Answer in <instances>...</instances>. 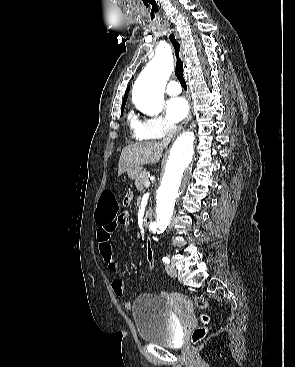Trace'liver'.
<instances>
[{
	"mask_svg": "<svg viewBox=\"0 0 295 367\" xmlns=\"http://www.w3.org/2000/svg\"><path fill=\"white\" fill-rule=\"evenodd\" d=\"M166 145L161 142H140L123 148L118 166V175L146 164H156Z\"/></svg>",
	"mask_w": 295,
	"mask_h": 367,
	"instance_id": "6515ba94",
	"label": "liver"
}]
</instances>
